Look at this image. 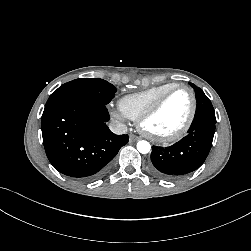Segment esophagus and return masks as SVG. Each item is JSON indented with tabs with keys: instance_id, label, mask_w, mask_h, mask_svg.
<instances>
[{
	"instance_id": "obj_1",
	"label": "esophagus",
	"mask_w": 251,
	"mask_h": 251,
	"mask_svg": "<svg viewBox=\"0 0 251 251\" xmlns=\"http://www.w3.org/2000/svg\"><path fill=\"white\" fill-rule=\"evenodd\" d=\"M129 139H130L131 142H134V141L140 140V137L137 136V135L131 134Z\"/></svg>"
}]
</instances>
